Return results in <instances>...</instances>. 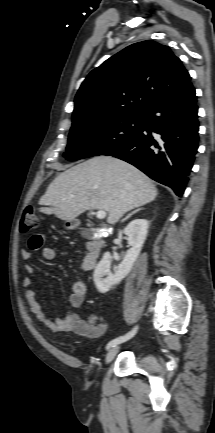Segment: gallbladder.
<instances>
[{
    "label": "gallbladder",
    "mask_w": 215,
    "mask_h": 433,
    "mask_svg": "<svg viewBox=\"0 0 215 433\" xmlns=\"http://www.w3.org/2000/svg\"><path fill=\"white\" fill-rule=\"evenodd\" d=\"M86 233H88V230L84 229V231L82 232V235H85Z\"/></svg>",
    "instance_id": "gallbladder-1"
}]
</instances>
